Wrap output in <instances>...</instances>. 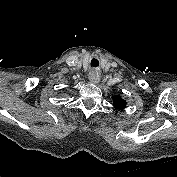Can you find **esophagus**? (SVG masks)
Listing matches in <instances>:
<instances>
[{
  "label": "esophagus",
  "instance_id": "esophagus-1",
  "mask_svg": "<svg viewBox=\"0 0 177 177\" xmlns=\"http://www.w3.org/2000/svg\"><path fill=\"white\" fill-rule=\"evenodd\" d=\"M88 78L93 83H98L100 81V73L98 69L92 68L88 74Z\"/></svg>",
  "mask_w": 177,
  "mask_h": 177
}]
</instances>
